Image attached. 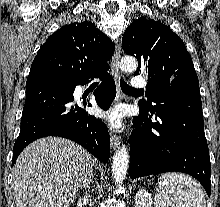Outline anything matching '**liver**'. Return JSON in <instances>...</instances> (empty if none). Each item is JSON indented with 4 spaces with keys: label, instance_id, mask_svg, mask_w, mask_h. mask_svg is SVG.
<instances>
[{
    "label": "liver",
    "instance_id": "liver-1",
    "mask_svg": "<svg viewBox=\"0 0 220 207\" xmlns=\"http://www.w3.org/2000/svg\"><path fill=\"white\" fill-rule=\"evenodd\" d=\"M94 158L83 147L60 137L32 142L13 167L16 207H69Z\"/></svg>",
    "mask_w": 220,
    "mask_h": 207
}]
</instances>
